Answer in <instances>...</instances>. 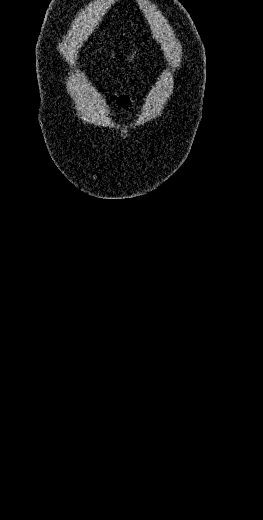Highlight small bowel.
<instances>
[{"label": "small bowel", "mask_w": 263, "mask_h": 520, "mask_svg": "<svg viewBox=\"0 0 263 520\" xmlns=\"http://www.w3.org/2000/svg\"><path fill=\"white\" fill-rule=\"evenodd\" d=\"M114 99H116V101L118 102V104H119L120 106H123V107H127V106L130 104L129 99H128L127 97H125V96H120V97H118V98H115V97H114Z\"/></svg>", "instance_id": "obj_1"}]
</instances>
